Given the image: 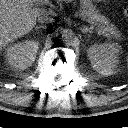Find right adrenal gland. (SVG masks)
<instances>
[{
  "instance_id": "1",
  "label": "right adrenal gland",
  "mask_w": 128,
  "mask_h": 128,
  "mask_svg": "<svg viewBox=\"0 0 128 128\" xmlns=\"http://www.w3.org/2000/svg\"><path fill=\"white\" fill-rule=\"evenodd\" d=\"M46 28V26H36L35 29Z\"/></svg>"
}]
</instances>
